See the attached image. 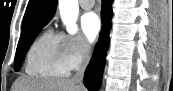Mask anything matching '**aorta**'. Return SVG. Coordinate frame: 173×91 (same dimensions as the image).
Returning <instances> with one entry per match:
<instances>
[{
    "mask_svg": "<svg viewBox=\"0 0 173 91\" xmlns=\"http://www.w3.org/2000/svg\"><path fill=\"white\" fill-rule=\"evenodd\" d=\"M59 10L67 31L70 34L76 33V21L79 13L78 0H59Z\"/></svg>",
    "mask_w": 173,
    "mask_h": 91,
    "instance_id": "762f6f07",
    "label": "aorta"
}]
</instances>
